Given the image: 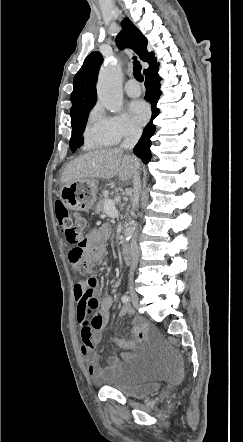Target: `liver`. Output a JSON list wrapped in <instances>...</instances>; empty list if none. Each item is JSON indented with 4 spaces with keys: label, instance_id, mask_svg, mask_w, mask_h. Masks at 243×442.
Listing matches in <instances>:
<instances>
[{
    "label": "liver",
    "instance_id": "obj_1",
    "mask_svg": "<svg viewBox=\"0 0 243 442\" xmlns=\"http://www.w3.org/2000/svg\"><path fill=\"white\" fill-rule=\"evenodd\" d=\"M139 160L125 155L120 148H105L85 153L71 161L63 171L61 181L68 184L80 179H131L139 168Z\"/></svg>",
    "mask_w": 243,
    "mask_h": 442
}]
</instances>
